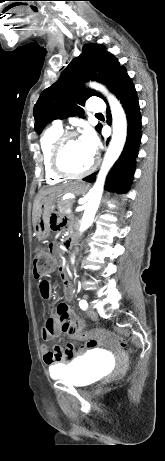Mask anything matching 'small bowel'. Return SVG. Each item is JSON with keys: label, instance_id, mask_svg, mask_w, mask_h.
<instances>
[{"label": "small bowel", "instance_id": "small-bowel-1", "mask_svg": "<svg viewBox=\"0 0 165 461\" xmlns=\"http://www.w3.org/2000/svg\"><path fill=\"white\" fill-rule=\"evenodd\" d=\"M55 210L57 211L58 209L56 208ZM48 219L50 222H57L59 220V215L49 214ZM63 220L65 222H70L72 220V215L64 214ZM61 270L64 296L65 299L69 301L74 295V288L66 273L62 268ZM39 292L43 299H51L53 296L52 283L48 280H41L39 282ZM61 334H66L73 339L80 341L84 340L85 342L87 341L86 338L89 335V333L83 331L82 320L74 315L67 302L58 304L52 313L45 315L42 320L41 336L45 341H50ZM84 347L86 348L87 346L85 345ZM84 347L80 348L81 352L85 351ZM41 351L43 354V360L45 364L50 367L53 376L58 373V370L56 369L57 367L74 357V351L67 352L66 348L63 349L60 345H54L52 349H48L46 346H43ZM86 351L88 353H92L94 348L92 346H88Z\"/></svg>", "mask_w": 165, "mask_h": 461}]
</instances>
